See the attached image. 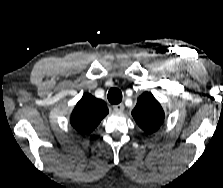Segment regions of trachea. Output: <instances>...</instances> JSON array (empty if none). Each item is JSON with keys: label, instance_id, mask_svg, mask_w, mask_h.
<instances>
[{"label": "trachea", "instance_id": "3493384b", "mask_svg": "<svg viewBox=\"0 0 223 188\" xmlns=\"http://www.w3.org/2000/svg\"><path fill=\"white\" fill-rule=\"evenodd\" d=\"M107 97L111 104H119L122 101V93L116 88H111Z\"/></svg>", "mask_w": 223, "mask_h": 188}]
</instances>
